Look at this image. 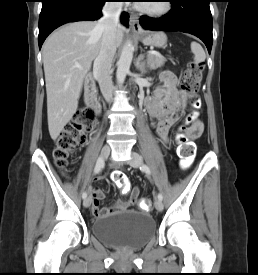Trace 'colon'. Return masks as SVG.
<instances>
[{
  "label": "colon",
  "mask_w": 258,
  "mask_h": 275,
  "mask_svg": "<svg viewBox=\"0 0 258 275\" xmlns=\"http://www.w3.org/2000/svg\"><path fill=\"white\" fill-rule=\"evenodd\" d=\"M202 77V67L197 63H191L183 72L180 81V89L187 95L191 106L195 109L200 107V100L197 95L199 83ZM197 113L191 112L188 115V122L197 120ZM94 123V114L88 109L79 110L72 118L69 124L60 131L53 150V155L57 166L65 169L69 162V157L77 145L81 144L86 133L92 130ZM194 144L184 139L179 147V157L183 167L188 166L194 156ZM112 180L116 187L123 193L130 192V184L127 175L121 171H115L112 174ZM140 209L148 210L150 199L142 198L138 203Z\"/></svg>",
  "instance_id": "1"
}]
</instances>
